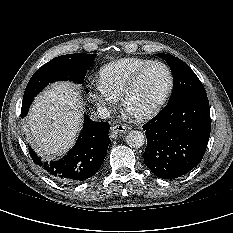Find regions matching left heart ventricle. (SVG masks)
<instances>
[{
  "label": "left heart ventricle",
  "instance_id": "1",
  "mask_svg": "<svg viewBox=\"0 0 233 233\" xmlns=\"http://www.w3.org/2000/svg\"><path fill=\"white\" fill-rule=\"evenodd\" d=\"M168 83L169 76L165 68L161 66L149 68L129 95L128 109L137 113L150 108L164 94Z\"/></svg>",
  "mask_w": 233,
  "mask_h": 233
}]
</instances>
